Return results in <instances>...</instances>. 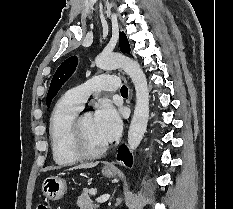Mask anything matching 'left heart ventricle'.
<instances>
[{"label": "left heart ventricle", "instance_id": "left-heart-ventricle-1", "mask_svg": "<svg viewBox=\"0 0 233 209\" xmlns=\"http://www.w3.org/2000/svg\"><path fill=\"white\" fill-rule=\"evenodd\" d=\"M81 134L84 144L90 150H97L106 143L97 135L94 127V121L91 116H84L81 120Z\"/></svg>", "mask_w": 233, "mask_h": 209}]
</instances>
